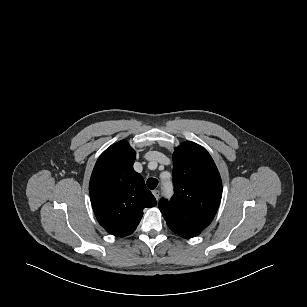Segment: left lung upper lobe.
Returning a JSON list of instances; mask_svg holds the SVG:
<instances>
[{
    "instance_id": "left-lung-upper-lobe-1",
    "label": "left lung upper lobe",
    "mask_w": 307,
    "mask_h": 307,
    "mask_svg": "<svg viewBox=\"0 0 307 307\" xmlns=\"http://www.w3.org/2000/svg\"><path fill=\"white\" fill-rule=\"evenodd\" d=\"M175 194L162 198L159 209L169 228L184 238L201 233L214 218L222 195V182L209 153L186 141L173 154Z\"/></svg>"
}]
</instances>
